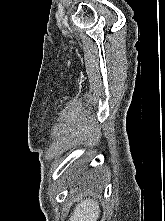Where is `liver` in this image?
<instances>
[{
  "mask_svg": "<svg viewBox=\"0 0 165 221\" xmlns=\"http://www.w3.org/2000/svg\"><path fill=\"white\" fill-rule=\"evenodd\" d=\"M100 210L97 202L86 199L77 204L69 221H97Z\"/></svg>",
  "mask_w": 165,
  "mask_h": 221,
  "instance_id": "6515ba94",
  "label": "liver"
}]
</instances>
